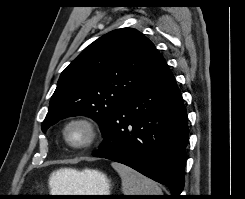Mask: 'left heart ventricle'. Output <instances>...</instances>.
<instances>
[{
    "mask_svg": "<svg viewBox=\"0 0 245 199\" xmlns=\"http://www.w3.org/2000/svg\"><path fill=\"white\" fill-rule=\"evenodd\" d=\"M68 138L74 144H82L88 138V131L81 124H74L68 129Z\"/></svg>",
    "mask_w": 245,
    "mask_h": 199,
    "instance_id": "obj_1",
    "label": "left heart ventricle"
}]
</instances>
